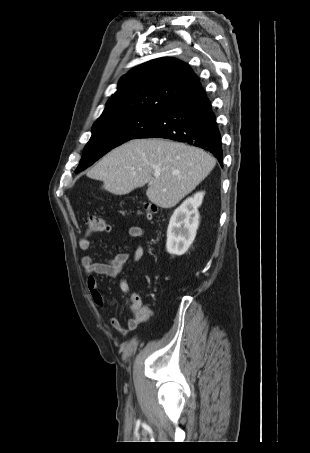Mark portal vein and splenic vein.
Wrapping results in <instances>:
<instances>
[{
  "label": "portal vein and splenic vein",
  "instance_id": "18ae733b",
  "mask_svg": "<svg viewBox=\"0 0 310 453\" xmlns=\"http://www.w3.org/2000/svg\"><path fill=\"white\" fill-rule=\"evenodd\" d=\"M154 176H155V177H159V174H155Z\"/></svg>",
  "mask_w": 310,
  "mask_h": 453
}]
</instances>
